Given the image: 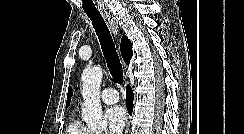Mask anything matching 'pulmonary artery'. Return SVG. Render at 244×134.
<instances>
[{
  "label": "pulmonary artery",
  "instance_id": "e3ab8cb5",
  "mask_svg": "<svg viewBox=\"0 0 244 134\" xmlns=\"http://www.w3.org/2000/svg\"><path fill=\"white\" fill-rule=\"evenodd\" d=\"M100 98L106 104H114L119 100V95L114 88H105L101 92Z\"/></svg>",
  "mask_w": 244,
  "mask_h": 134
}]
</instances>
